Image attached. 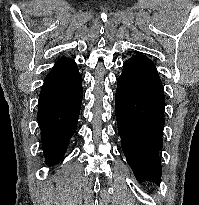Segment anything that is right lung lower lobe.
Instances as JSON below:
<instances>
[{
    "label": "right lung lower lobe",
    "instance_id": "98d812e1",
    "mask_svg": "<svg viewBox=\"0 0 199 205\" xmlns=\"http://www.w3.org/2000/svg\"><path fill=\"white\" fill-rule=\"evenodd\" d=\"M82 101V76L48 73L38 102V124L46 163L54 165L63 157L77 128Z\"/></svg>",
    "mask_w": 199,
    "mask_h": 205
}]
</instances>
